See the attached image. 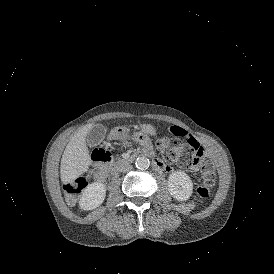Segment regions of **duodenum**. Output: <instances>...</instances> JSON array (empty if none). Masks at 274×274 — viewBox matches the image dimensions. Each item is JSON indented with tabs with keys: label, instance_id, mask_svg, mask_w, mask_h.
Segmentation results:
<instances>
[{
	"label": "duodenum",
	"instance_id": "duodenum-1",
	"mask_svg": "<svg viewBox=\"0 0 274 274\" xmlns=\"http://www.w3.org/2000/svg\"><path fill=\"white\" fill-rule=\"evenodd\" d=\"M140 154L151 157L153 166L155 167V169L160 170V171L168 170V167L165 165V163L163 161H161L160 159H158L157 157L153 156L151 152L142 151ZM135 156L136 155H132V156H129L124 159H120L117 161H111V159L109 157H107L106 155L101 154V153H96L94 155V160L97 163L107 167L112 174H115L123 165L133 161Z\"/></svg>",
	"mask_w": 274,
	"mask_h": 274
}]
</instances>
